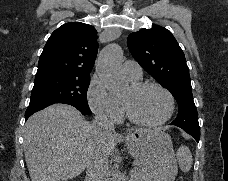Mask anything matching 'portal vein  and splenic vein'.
<instances>
[{
    "label": "portal vein and splenic vein",
    "instance_id": "1",
    "mask_svg": "<svg viewBox=\"0 0 228 181\" xmlns=\"http://www.w3.org/2000/svg\"><path fill=\"white\" fill-rule=\"evenodd\" d=\"M134 172H135V171L132 170V169H129V170H128V173H129V174H132V173H134Z\"/></svg>",
    "mask_w": 228,
    "mask_h": 181
}]
</instances>
